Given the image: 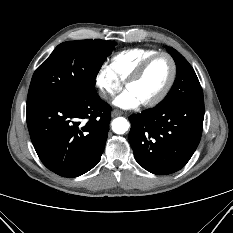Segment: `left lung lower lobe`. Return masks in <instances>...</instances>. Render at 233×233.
Masks as SVG:
<instances>
[{
	"instance_id": "left-lung-lower-lobe-1",
	"label": "left lung lower lobe",
	"mask_w": 233,
	"mask_h": 233,
	"mask_svg": "<svg viewBox=\"0 0 233 233\" xmlns=\"http://www.w3.org/2000/svg\"><path fill=\"white\" fill-rule=\"evenodd\" d=\"M203 119L204 101H177L131 115L129 141L136 161L157 175L180 170L200 142Z\"/></svg>"
}]
</instances>
